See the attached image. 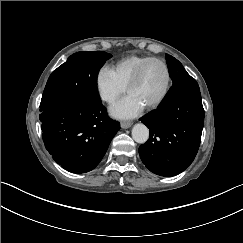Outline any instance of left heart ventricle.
I'll list each match as a JSON object with an SVG mask.
<instances>
[{"instance_id":"1","label":"left heart ventricle","mask_w":243,"mask_h":243,"mask_svg":"<svg viewBox=\"0 0 243 243\" xmlns=\"http://www.w3.org/2000/svg\"><path fill=\"white\" fill-rule=\"evenodd\" d=\"M167 72L159 62H150L128 94L136 96L144 105L157 100L167 86Z\"/></svg>"}]
</instances>
